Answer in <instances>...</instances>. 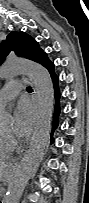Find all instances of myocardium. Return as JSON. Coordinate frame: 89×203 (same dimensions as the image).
<instances>
[{"label": "myocardium", "mask_w": 89, "mask_h": 203, "mask_svg": "<svg viewBox=\"0 0 89 203\" xmlns=\"http://www.w3.org/2000/svg\"><path fill=\"white\" fill-rule=\"evenodd\" d=\"M3 136H4V138L7 140V142L10 144V146H12V144L14 143L12 137H11V136H10V137H7V136H5V135H3Z\"/></svg>", "instance_id": "obj_1"}]
</instances>
